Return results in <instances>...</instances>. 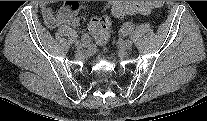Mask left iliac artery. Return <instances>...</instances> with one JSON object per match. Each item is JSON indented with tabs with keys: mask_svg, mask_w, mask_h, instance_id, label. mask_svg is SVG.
<instances>
[{
	"mask_svg": "<svg viewBox=\"0 0 207 121\" xmlns=\"http://www.w3.org/2000/svg\"><path fill=\"white\" fill-rule=\"evenodd\" d=\"M131 28H132V22L126 21L125 24L119 30L120 37L123 39L126 38Z\"/></svg>",
	"mask_w": 207,
	"mask_h": 121,
	"instance_id": "1",
	"label": "left iliac artery"
}]
</instances>
